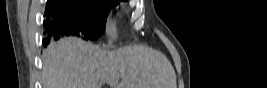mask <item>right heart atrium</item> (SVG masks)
<instances>
[{
    "label": "right heart atrium",
    "mask_w": 267,
    "mask_h": 88,
    "mask_svg": "<svg viewBox=\"0 0 267 88\" xmlns=\"http://www.w3.org/2000/svg\"><path fill=\"white\" fill-rule=\"evenodd\" d=\"M106 30H107V34H108L111 38H114V36H115V26H114V24L111 23V22H108V23H107Z\"/></svg>",
    "instance_id": "obj_1"
}]
</instances>
